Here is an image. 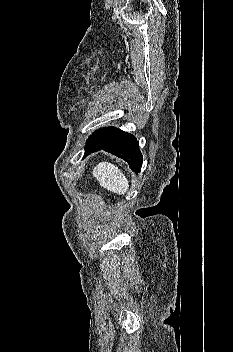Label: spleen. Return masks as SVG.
<instances>
[{"label": "spleen", "mask_w": 233, "mask_h": 352, "mask_svg": "<svg viewBox=\"0 0 233 352\" xmlns=\"http://www.w3.org/2000/svg\"><path fill=\"white\" fill-rule=\"evenodd\" d=\"M100 186L116 194L124 195L129 188L125 174L114 164L101 162L93 170Z\"/></svg>", "instance_id": "obj_1"}]
</instances>
